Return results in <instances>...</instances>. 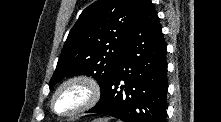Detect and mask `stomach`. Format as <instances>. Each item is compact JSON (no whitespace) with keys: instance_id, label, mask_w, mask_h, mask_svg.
Instances as JSON below:
<instances>
[{"instance_id":"0dacf381","label":"stomach","mask_w":221,"mask_h":122,"mask_svg":"<svg viewBox=\"0 0 221 122\" xmlns=\"http://www.w3.org/2000/svg\"><path fill=\"white\" fill-rule=\"evenodd\" d=\"M93 122H108V119L101 118V119H96Z\"/></svg>"}]
</instances>
